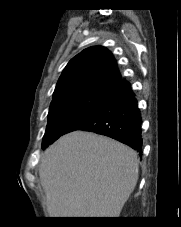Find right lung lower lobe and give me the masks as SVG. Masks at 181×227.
<instances>
[{
    "label": "right lung lower lobe",
    "instance_id": "98d812e1",
    "mask_svg": "<svg viewBox=\"0 0 181 227\" xmlns=\"http://www.w3.org/2000/svg\"><path fill=\"white\" fill-rule=\"evenodd\" d=\"M134 96L130 84L125 79L121 80L98 110L66 133L84 130L106 135L132 147L141 155V114ZM49 144L42 145V149Z\"/></svg>",
    "mask_w": 181,
    "mask_h": 227
}]
</instances>
